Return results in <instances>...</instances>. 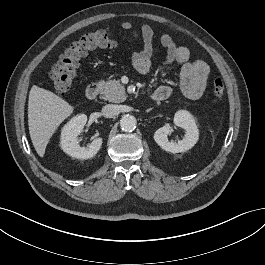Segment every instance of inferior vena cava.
<instances>
[{
	"label": "inferior vena cava",
	"instance_id": "1",
	"mask_svg": "<svg viewBox=\"0 0 265 265\" xmlns=\"http://www.w3.org/2000/svg\"><path fill=\"white\" fill-rule=\"evenodd\" d=\"M119 114L117 105L107 104L102 108V115L106 118H112Z\"/></svg>",
	"mask_w": 265,
	"mask_h": 265
}]
</instances>
